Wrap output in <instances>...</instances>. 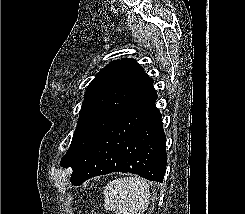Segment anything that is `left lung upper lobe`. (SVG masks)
<instances>
[{
	"label": "left lung upper lobe",
	"mask_w": 245,
	"mask_h": 214,
	"mask_svg": "<svg viewBox=\"0 0 245 214\" xmlns=\"http://www.w3.org/2000/svg\"><path fill=\"white\" fill-rule=\"evenodd\" d=\"M154 92L153 79L135 60L121 59L107 64L86 89L71 145L60 165L73 168L110 124Z\"/></svg>",
	"instance_id": "5c2ea615"
}]
</instances>
